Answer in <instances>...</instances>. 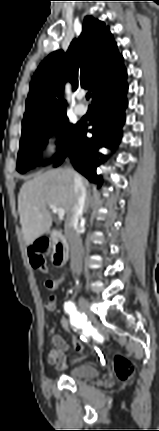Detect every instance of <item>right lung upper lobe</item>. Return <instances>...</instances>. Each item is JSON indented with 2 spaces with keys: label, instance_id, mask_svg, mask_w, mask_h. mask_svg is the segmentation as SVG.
<instances>
[{
  "label": "right lung upper lobe",
  "instance_id": "obj_1",
  "mask_svg": "<svg viewBox=\"0 0 159 431\" xmlns=\"http://www.w3.org/2000/svg\"><path fill=\"white\" fill-rule=\"evenodd\" d=\"M123 57L105 24L88 16L83 30L66 53H51L36 70L26 101L22 131L65 112L63 90L70 82L92 91L93 99L106 86L126 75Z\"/></svg>",
  "mask_w": 159,
  "mask_h": 431
}]
</instances>
